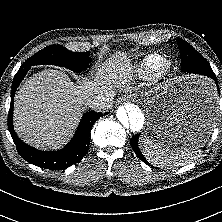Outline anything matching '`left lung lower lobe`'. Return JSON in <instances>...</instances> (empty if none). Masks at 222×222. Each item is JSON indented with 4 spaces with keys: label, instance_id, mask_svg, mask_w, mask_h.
<instances>
[{
    "label": "left lung lower lobe",
    "instance_id": "left-lung-lower-lobe-1",
    "mask_svg": "<svg viewBox=\"0 0 222 222\" xmlns=\"http://www.w3.org/2000/svg\"><path fill=\"white\" fill-rule=\"evenodd\" d=\"M181 70L183 72L200 74V75H204V76H208V77L212 78L215 81V84H216L218 91H219V85H218L217 78H216L214 72L213 71H204L203 68L196 65V62L194 59L188 58L185 61H183L182 65H181ZM138 139H139V134H137L131 138L132 149L134 150V152L136 153L138 158H140L144 163L147 164L148 162L146 161V159L142 155L141 151L139 150Z\"/></svg>",
    "mask_w": 222,
    "mask_h": 222
}]
</instances>
